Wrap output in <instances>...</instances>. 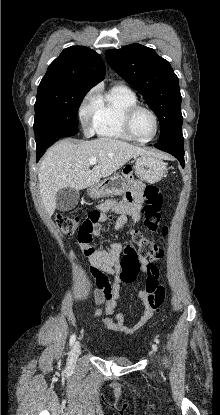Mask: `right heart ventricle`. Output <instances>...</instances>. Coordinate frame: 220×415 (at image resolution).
Returning <instances> with one entry per match:
<instances>
[{
  "label": "right heart ventricle",
  "instance_id": "e07e8e85",
  "mask_svg": "<svg viewBox=\"0 0 220 415\" xmlns=\"http://www.w3.org/2000/svg\"><path fill=\"white\" fill-rule=\"evenodd\" d=\"M93 130L100 137L132 140L123 126L125 111L138 104L136 94L127 87L116 86L95 96Z\"/></svg>",
  "mask_w": 220,
  "mask_h": 415
}]
</instances>
